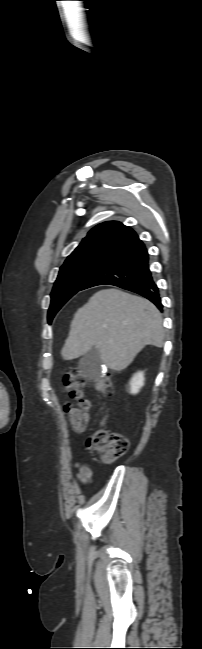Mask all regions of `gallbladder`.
<instances>
[{
	"label": "gallbladder",
	"mask_w": 202,
	"mask_h": 649,
	"mask_svg": "<svg viewBox=\"0 0 202 649\" xmlns=\"http://www.w3.org/2000/svg\"><path fill=\"white\" fill-rule=\"evenodd\" d=\"M78 368L83 377L93 381L98 380L102 375V362L99 350L92 347L87 351L80 359Z\"/></svg>",
	"instance_id": "bac80fb5"
}]
</instances>
